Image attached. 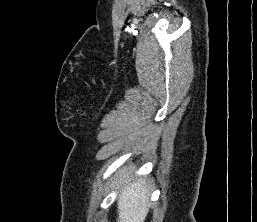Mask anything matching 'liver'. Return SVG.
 Listing matches in <instances>:
<instances>
[{
  "instance_id": "obj_1",
  "label": "liver",
  "mask_w": 257,
  "mask_h": 222,
  "mask_svg": "<svg viewBox=\"0 0 257 222\" xmlns=\"http://www.w3.org/2000/svg\"><path fill=\"white\" fill-rule=\"evenodd\" d=\"M117 205V222H144L150 208L146 183L139 179L124 186Z\"/></svg>"
}]
</instances>
